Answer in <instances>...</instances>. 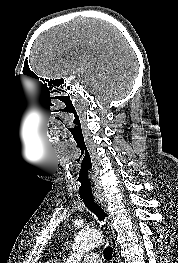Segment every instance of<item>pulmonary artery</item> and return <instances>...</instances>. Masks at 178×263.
Masks as SVG:
<instances>
[{"label":"pulmonary artery","mask_w":178,"mask_h":263,"mask_svg":"<svg viewBox=\"0 0 178 263\" xmlns=\"http://www.w3.org/2000/svg\"><path fill=\"white\" fill-rule=\"evenodd\" d=\"M83 263H102L101 257L95 252H90L83 257Z\"/></svg>","instance_id":"e3ab8cb5"}]
</instances>
